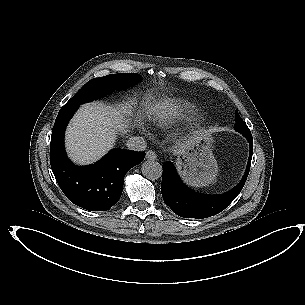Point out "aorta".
I'll use <instances>...</instances> for the list:
<instances>
[{
	"instance_id": "obj_1",
	"label": "aorta",
	"mask_w": 305,
	"mask_h": 305,
	"mask_svg": "<svg viewBox=\"0 0 305 305\" xmlns=\"http://www.w3.org/2000/svg\"><path fill=\"white\" fill-rule=\"evenodd\" d=\"M142 174L150 179L156 180L162 176V166L157 161L147 160L141 165Z\"/></svg>"
}]
</instances>
